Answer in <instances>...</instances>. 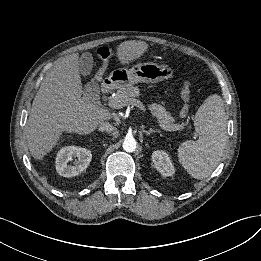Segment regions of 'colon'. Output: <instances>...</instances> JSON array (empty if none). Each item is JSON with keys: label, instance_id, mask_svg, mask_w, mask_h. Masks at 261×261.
Returning <instances> with one entry per match:
<instances>
[{"label": "colon", "instance_id": "obj_1", "mask_svg": "<svg viewBox=\"0 0 261 261\" xmlns=\"http://www.w3.org/2000/svg\"><path fill=\"white\" fill-rule=\"evenodd\" d=\"M99 57L103 60H107L110 57V53L108 50H104L103 53L99 55ZM182 95L190 96V88L189 85L186 83L182 88ZM188 112H186L183 108L181 109V116H186Z\"/></svg>", "mask_w": 261, "mask_h": 261}]
</instances>
